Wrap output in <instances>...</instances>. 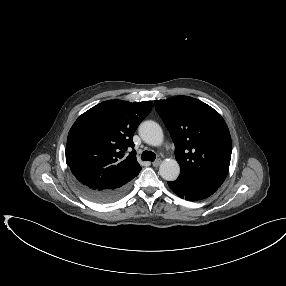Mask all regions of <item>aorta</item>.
<instances>
[{
  "mask_svg": "<svg viewBox=\"0 0 286 286\" xmlns=\"http://www.w3.org/2000/svg\"><path fill=\"white\" fill-rule=\"evenodd\" d=\"M139 135L145 143L152 146H160L164 140L160 125L150 120L140 124ZM159 173L164 180L174 181L180 174L179 164L174 159H165L160 164Z\"/></svg>",
  "mask_w": 286,
  "mask_h": 286,
  "instance_id": "1",
  "label": "aorta"
}]
</instances>
